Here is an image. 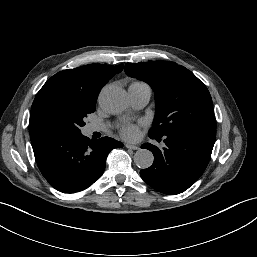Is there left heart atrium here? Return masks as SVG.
Instances as JSON below:
<instances>
[{
  "label": "left heart atrium",
  "mask_w": 257,
  "mask_h": 257,
  "mask_svg": "<svg viewBox=\"0 0 257 257\" xmlns=\"http://www.w3.org/2000/svg\"><path fill=\"white\" fill-rule=\"evenodd\" d=\"M120 133L125 139L134 140L138 137L139 131L137 126L128 124L120 129Z\"/></svg>",
  "instance_id": "left-heart-atrium-1"
}]
</instances>
